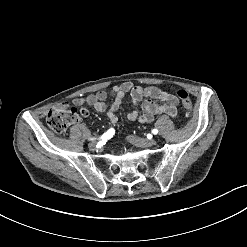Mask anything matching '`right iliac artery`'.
Listing matches in <instances>:
<instances>
[{
	"mask_svg": "<svg viewBox=\"0 0 247 247\" xmlns=\"http://www.w3.org/2000/svg\"><path fill=\"white\" fill-rule=\"evenodd\" d=\"M115 133V130L113 128H110L107 132H105L102 136L101 139L103 141H107L108 139L112 138L113 135ZM90 140H93V138H91Z\"/></svg>",
	"mask_w": 247,
	"mask_h": 247,
	"instance_id": "right-iliac-artery-1",
	"label": "right iliac artery"
}]
</instances>
